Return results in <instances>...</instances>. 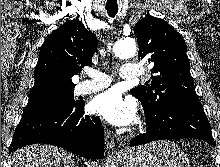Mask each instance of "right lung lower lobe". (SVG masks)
Masks as SVG:
<instances>
[{
  "instance_id": "obj_1",
  "label": "right lung lower lobe",
  "mask_w": 220,
  "mask_h": 167,
  "mask_svg": "<svg viewBox=\"0 0 220 167\" xmlns=\"http://www.w3.org/2000/svg\"><path fill=\"white\" fill-rule=\"evenodd\" d=\"M84 102L72 105L43 101L26 106L9 154L36 143L65 148L88 159L104 157V130L99 117L85 115Z\"/></svg>"
}]
</instances>
